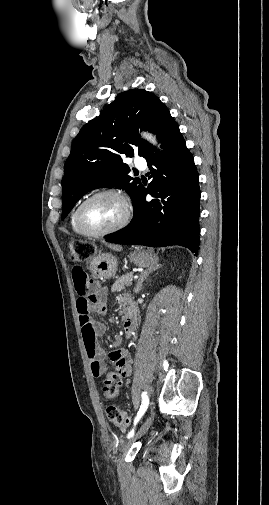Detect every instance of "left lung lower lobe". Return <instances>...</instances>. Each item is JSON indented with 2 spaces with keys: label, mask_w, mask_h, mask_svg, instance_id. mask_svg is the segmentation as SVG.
<instances>
[{
  "label": "left lung lower lobe",
  "mask_w": 269,
  "mask_h": 505,
  "mask_svg": "<svg viewBox=\"0 0 269 505\" xmlns=\"http://www.w3.org/2000/svg\"><path fill=\"white\" fill-rule=\"evenodd\" d=\"M154 133L164 150L156 151L150 145L144 156L153 180L148 188L142 185L139 190L131 223L106 241L150 247L181 245L197 255L201 192L193 156L170 112ZM147 194L154 199L146 201Z\"/></svg>",
  "instance_id": "left-lung-lower-lobe-1"
}]
</instances>
